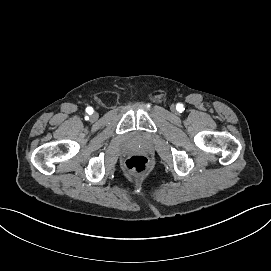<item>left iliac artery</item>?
<instances>
[{
  "mask_svg": "<svg viewBox=\"0 0 271 271\" xmlns=\"http://www.w3.org/2000/svg\"><path fill=\"white\" fill-rule=\"evenodd\" d=\"M176 108H177L178 111H183V105L182 104H178L176 106Z\"/></svg>",
  "mask_w": 271,
  "mask_h": 271,
  "instance_id": "44dca946",
  "label": "left iliac artery"
}]
</instances>
